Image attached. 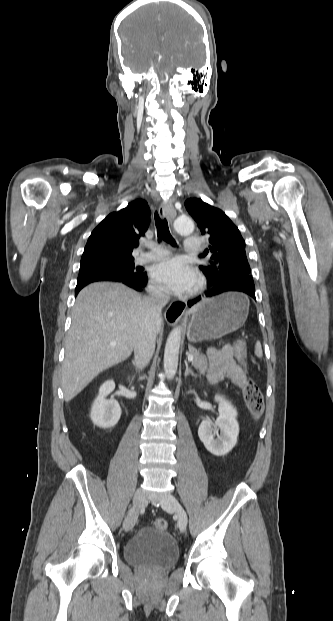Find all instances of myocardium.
<instances>
[{
    "label": "myocardium",
    "instance_id": "myocardium-1",
    "mask_svg": "<svg viewBox=\"0 0 333 621\" xmlns=\"http://www.w3.org/2000/svg\"><path fill=\"white\" fill-rule=\"evenodd\" d=\"M204 286H205L204 281L202 279H199L197 282L196 288H195V292L196 293L201 292L204 289Z\"/></svg>",
    "mask_w": 333,
    "mask_h": 621
}]
</instances>
